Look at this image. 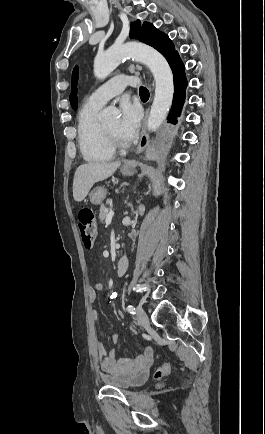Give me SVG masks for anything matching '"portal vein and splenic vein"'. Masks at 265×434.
I'll return each instance as SVG.
<instances>
[{"mask_svg": "<svg viewBox=\"0 0 265 434\" xmlns=\"http://www.w3.org/2000/svg\"><path fill=\"white\" fill-rule=\"evenodd\" d=\"M113 216H114V212H113V210H111V212H109V214L105 220L106 226H109V224H111V220H112Z\"/></svg>", "mask_w": 265, "mask_h": 434, "instance_id": "portal-vein-and-splenic-vein-1", "label": "portal vein and splenic vein"}]
</instances>
